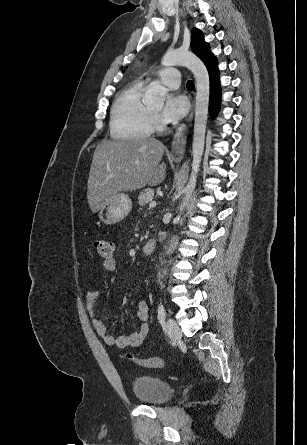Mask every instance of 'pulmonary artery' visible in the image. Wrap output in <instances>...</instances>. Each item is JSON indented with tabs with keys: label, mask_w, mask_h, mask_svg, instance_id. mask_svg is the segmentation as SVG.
I'll return each instance as SVG.
<instances>
[{
	"label": "pulmonary artery",
	"mask_w": 307,
	"mask_h": 445,
	"mask_svg": "<svg viewBox=\"0 0 307 445\" xmlns=\"http://www.w3.org/2000/svg\"><path fill=\"white\" fill-rule=\"evenodd\" d=\"M163 83L170 88H177L180 85V80L183 77V72L178 68H169L158 72L157 74Z\"/></svg>",
	"instance_id": "1"
}]
</instances>
